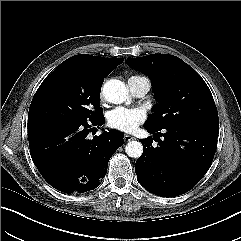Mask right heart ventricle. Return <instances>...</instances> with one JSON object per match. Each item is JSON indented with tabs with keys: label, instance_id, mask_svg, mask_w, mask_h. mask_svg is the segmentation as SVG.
Segmentation results:
<instances>
[{
	"label": "right heart ventricle",
	"instance_id": "1",
	"mask_svg": "<svg viewBox=\"0 0 241 241\" xmlns=\"http://www.w3.org/2000/svg\"><path fill=\"white\" fill-rule=\"evenodd\" d=\"M139 79V78H145V77H141V76H132V77H130L129 79Z\"/></svg>",
	"mask_w": 241,
	"mask_h": 241
}]
</instances>
